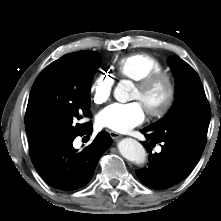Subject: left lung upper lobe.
Returning a JSON list of instances; mask_svg holds the SVG:
<instances>
[{"mask_svg":"<svg viewBox=\"0 0 221 221\" xmlns=\"http://www.w3.org/2000/svg\"><path fill=\"white\" fill-rule=\"evenodd\" d=\"M168 63L176 81L175 102L168 114L148 129L157 141H181L204 150L211 111L200 78L179 57H170Z\"/></svg>","mask_w":221,"mask_h":221,"instance_id":"5c2ea615","label":"left lung upper lobe"}]
</instances>
